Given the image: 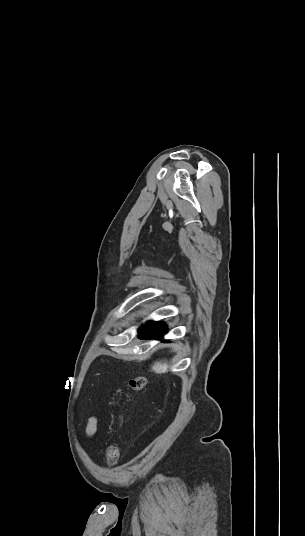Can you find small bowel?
<instances>
[{
	"mask_svg": "<svg viewBox=\"0 0 305 536\" xmlns=\"http://www.w3.org/2000/svg\"><path fill=\"white\" fill-rule=\"evenodd\" d=\"M97 431V420L95 418H91L88 421V424L86 426V433L88 436H92Z\"/></svg>",
	"mask_w": 305,
	"mask_h": 536,
	"instance_id": "obj_1",
	"label": "small bowel"
}]
</instances>
